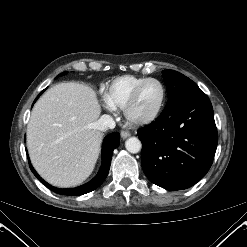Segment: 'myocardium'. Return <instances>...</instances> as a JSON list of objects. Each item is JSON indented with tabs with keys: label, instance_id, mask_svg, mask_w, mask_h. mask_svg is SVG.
I'll use <instances>...</instances> for the list:
<instances>
[{
	"label": "myocardium",
	"instance_id": "obj_1",
	"mask_svg": "<svg viewBox=\"0 0 247 247\" xmlns=\"http://www.w3.org/2000/svg\"><path fill=\"white\" fill-rule=\"evenodd\" d=\"M150 82H155L157 84L160 85L161 89H162V97H161V101L160 104L158 106V108L155 110V112L153 114H151L150 116L143 118V119H134L131 117L130 115V109L133 106V104L135 103L141 89L148 83ZM166 100H167V89L165 84L157 79V78H147L145 80H143L142 82H140L131 92V94L129 95L128 99L126 100L122 110L124 113L125 118L132 124L134 125H148L152 122H154L162 113L165 104H166Z\"/></svg>",
	"mask_w": 247,
	"mask_h": 247
}]
</instances>
